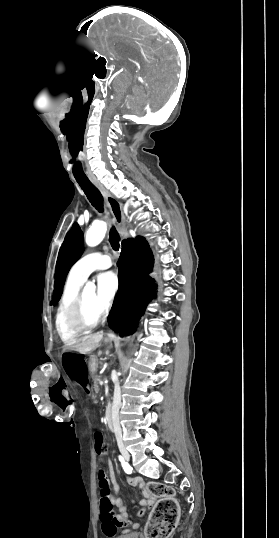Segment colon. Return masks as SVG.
<instances>
[{"label":"colon","mask_w":279,"mask_h":538,"mask_svg":"<svg viewBox=\"0 0 279 538\" xmlns=\"http://www.w3.org/2000/svg\"><path fill=\"white\" fill-rule=\"evenodd\" d=\"M95 451L98 455H105L106 444L102 433L94 435ZM98 486L100 494L101 515L107 518L113 517V506L110 499V488L103 469L98 472ZM149 491L158 501L151 514L150 521L146 527V538H166L169 536L179 518V507L175 500L174 489L162 483H150Z\"/></svg>","instance_id":"1"}]
</instances>
